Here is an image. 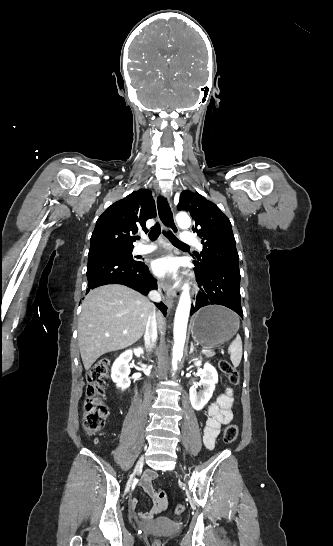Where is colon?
<instances>
[{
	"instance_id": "5ec220e1",
	"label": "colon",
	"mask_w": 333,
	"mask_h": 546,
	"mask_svg": "<svg viewBox=\"0 0 333 546\" xmlns=\"http://www.w3.org/2000/svg\"><path fill=\"white\" fill-rule=\"evenodd\" d=\"M109 367L110 361L106 358L101 359L91 367L86 376L88 386L87 397L84 402L83 429L89 435L101 430L106 422L107 409L102 395L109 375ZM219 368L231 384L237 385L239 383V371L229 361L220 360ZM238 434V426L230 424L224 430L223 441L227 444L233 443L237 439ZM184 510V505L178 504L174 512L176 515H181ZM153 546H161V544L159 541H155Z\"/></svg>"
}]
</instances>
